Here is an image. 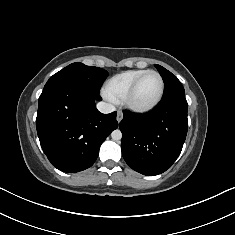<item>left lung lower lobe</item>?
<instances>
[{"label": "left lung lower lobe", "instance_id": "1", "mask_svg": "<svg viewBox=\"0 0 235 235\" xmlns=\"http://www.w3.org/2000/svg\"><path fill=\"white\" fill-rule=\"evenodd\" d=\"M187 107L185 96H173L145 114L123 112L122 155L133 170L153 176L172 166L187 135Z\"/></svg>", "mask_w": 235, "mask_h": 235}]
</instances>
